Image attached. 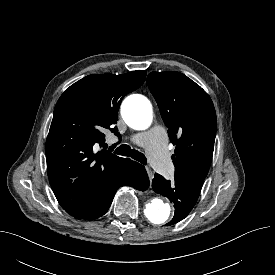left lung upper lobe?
<instances>
[{"mask_svg":"<svg viewBox=\"0 0 275 275\" xmlns=\"http://www.w3.org/2000/svg\"><path fill=\"white\" fill-rule=\"evenodd\" d=\"M147 84L155 97L170 141L175 176L203 184L216 136V112L209 95L179 72H151Z\"/></svg>","mask_w":275,"mask_h":275,"instance_id":"obj_1","label":"left lung upper lobe"}]
</instances>
